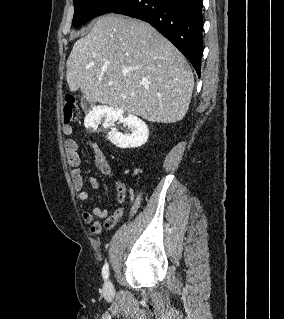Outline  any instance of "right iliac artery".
Listing matches in <instances>:
<instances>
[{"label": "right iliac artery", "mask_w": 284, "mask_h": 319, "mask_svg": "<svg viewBox=\"0 0 284 319\" xmlns=\"http://www.w3.org/2000/svg\"><path fill=\"white\" fill-rule=\"evenodd\" d=\"M102 276L104 279H107L109 276V265L108 263H105L102 269Z\"/></svg>", "instance_id": "obj_1"}]
</instances>
